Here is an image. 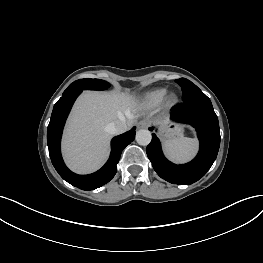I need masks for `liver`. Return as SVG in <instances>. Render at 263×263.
Here are the masks:
<instances>
[{
    "instance_id": "6515ba94",
    "label": "liver",
    "mask_w": 263,
    "mask_h": 263,
    "mask_svg": "<svg viewBox=\"0 0 263 263\" xmlns=\"http://www.w3.org/2000/svg\"><path fill=\"white\" fill-rule=\"evenodd\" d=\"M136 102L132 95L120 91H86L76 101L67 122L62 143L64 159L76 173L96 171L109 154L111 133L108 124L125 119L135 122Z\"/></svg>"
}]
</instances>
